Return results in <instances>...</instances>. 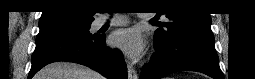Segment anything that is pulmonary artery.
Returning a JSON list of instances; mask_svg holds the SVG:
<instances>
[{
	"instance_id": "obj_1",
	"label": "pulmonary artery",
	"mask_w": 255,
	"mask_h": 79,
	"mask_svg": "<svg viewBox=\"0 0 255 79\" xmlns=\"http://www.w3.org/2000/svg\"><path fill=\"white\" fill-rule=\"evenodd\" d=\"M140 16L141 17H145V16H148V15L141 14ZM126 21H127V19L125 18V16L114 17V18H112L110 20H108L107 18L102 17V18H98L96 20V25L98 27H101V26H103L106 23H109L111 25H121V24L126 23Z\"/></svg>"
}]
</instances>
